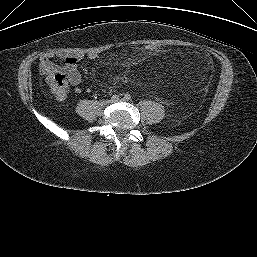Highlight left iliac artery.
I'll use <instances>...</instances> for the list:
<instances>
[{
    "label": "left iliac artery",
    "mask_w": 257,
    "mask_h": 257,
    "mask_svg": "<svg viewBox=\"0 0 257 257\" xmlns=\"http://www.w3.org/2000/svg\"><path fill=\"white\" fill-rule=\"evenodd\" d=\"M124 99L127 100V101L130 100V99H131L130 94H128V93L125 94V95H124Z\"/></svg>",
    "instance_id": "44dca946"
}]
</instances>
